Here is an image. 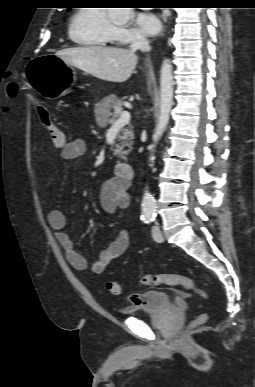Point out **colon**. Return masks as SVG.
<instances>
[{"mask_svg": "<svg viewBox=\"0 0 255 387\" xmlns=\"http://www.w3.org/2000/svg\"><path fill=\"white\" fill-rule=\"evenodd\" d=\"M17 93V85L11 84L9 94L14 97ZM37 112L42 125L50 134L53 145L57 150H63L68 140L65 133L55 124L51 112L42 105H37ZM140 283L144 286H168V287H183L203 299H208V293L197 285L192 279L175 274H145L141 276ZM106 288L112 295H120L121 287L120 284L114 280L109 279L106 282ZM207 320V314L199 315L190 324V328L196 327L203 324Z\"/></svg>", "mask_w": 255, "mask_h": 387, "instance_id": "1", "label": "colon"}]
</instances>
